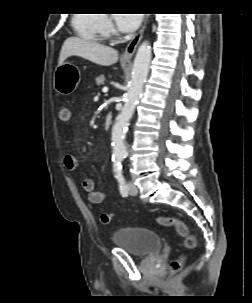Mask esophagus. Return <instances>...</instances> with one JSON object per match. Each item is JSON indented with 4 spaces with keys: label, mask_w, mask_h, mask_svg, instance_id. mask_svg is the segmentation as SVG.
<instances>
[{
    "label": "esophagus",
    "mask_w": 252,
    "mask_h": 303,
    "mask_svg": "<svg viewBox=\"0 0 252 303\" xmlns=\"http://www.w3.org/2000/svg\"><path fill=\"white\" fill-rule=\"evenodd\" d=\"M148 22V16H145L143 25L141 27V29L139 30V32L133 37V39L129 42V44L127 45L123 55H122V59L125 61H130L136 51V48L138 46V44L140 43L142 37H143V33L144 30L146 28V24Z\"/></svg>",
    "instance_id": "esophagus-1"
}]
</instances>
